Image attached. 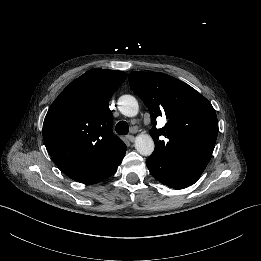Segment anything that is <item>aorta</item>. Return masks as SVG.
I'll return each mask as SVG.
<instances>
[{
	"mask_svg": "<svg viewBox=\"0 0 261 261\" xmlns=\"http://www.w3.org/2000/svg\"><path fill=\"white\" fill-rule=\"evenodd\" d=\"M118 105L121 113L128 117L138 114L139 105L135 97L131 95H123L118 99ZM154 141L147 134H141L135 139V148L137 152L143 156H149L154 151Z\"/></svg>",
	"mask_w": 261,
	"mask_h": 261,
	"instance_id": "762f6f07",
	"label": "aorta"
}]
</instances>
